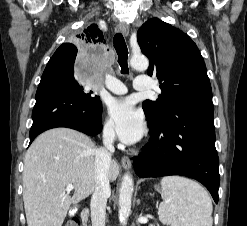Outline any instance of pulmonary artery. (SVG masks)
Masks as SVG:
<instances>
[{
	"mask_svg": "<svg viewBox=\"0 0 247 226\" xmlns=\"http://www.w3.org/2000/svg\"><path fill=\"white\" fill-rule=\"evenodd\" d=\"M105 86L110 92L117 94V95L125 94L128 91L126 85L123 82L111 76L107 77L105 81ZM133 87L136 90L142 91V90H148L152 88V84H151L150 79L147 76L140 75L136 77Z\"/></svg>",
	"mask_w": 247,
	"mask_h": 226,
	"instance_id": "e3ab8cb5",
	"label": "pulmonary artery"
}]
</instances>
